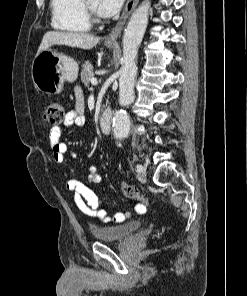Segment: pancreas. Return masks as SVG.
<instances>
[{
	"instance_id": "pancreas-1",
	"label": "pancreas",
	"mask_w": 247,
	"mask_h": 296,
	"mask_svg": "<svg viewBox=\"0 0 247 296\" xmlns=\"http://www.w3.org/2000/svg\"><path fill=\"white\" fill-rule=\"evenodd\" d=\"M94 77L93 66L90 62H86L82 65L81 81L85 86L89 85V82Z\"/></svg>"
}]
</instances>
